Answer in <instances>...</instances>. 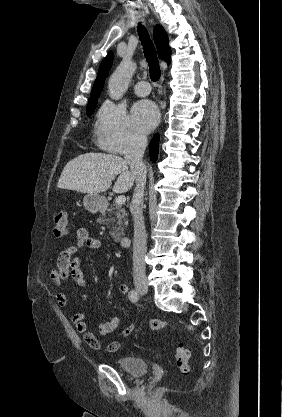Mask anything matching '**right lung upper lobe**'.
<instances>
[{
	"label": "right lung upper lobe",
	"instance_id": "cb5924a9",
	"mask_svg": "<svg viewBox=\"0 0 282 417\" xmlns=\"http://www.w3.org/2000/svg\"><path fill=\"white\" fill-rule=\"evenodd\" d=\"M154 40L158 49V55L160 59H164L168 64L170 63L171 50L168 45V36L161 26H156L154 29ZM113 62V52L110 51L103 62L101 63L98 71L97 78L92 88L91 96L99 95L103 89L105 78L108 75V71L111 68Z\"/></svg>",
	"mask_w": 282,
	"mask_h": 417
}]
</instances>
